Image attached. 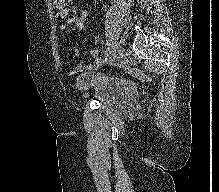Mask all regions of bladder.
Segmentation results:
<instances>
[{
	"mask_svg": "<svg viewBox=\"0 0 219 192\" xmlns=\"http://www.w3.org/2000/svg\"><path fill=\"white\" fill-rule=\"evenodd\" d=\"M77 83V95L82 100H95L107 110L120 115H129L138 109L137 89L125 77L101 76L95 69H86L78 75Z\"/></svg>",
	"mask_w": 219,
	"mask_h": 192,
	"instance_id": "bladder-1",
	"label": "bladder"
}]
</instances>
